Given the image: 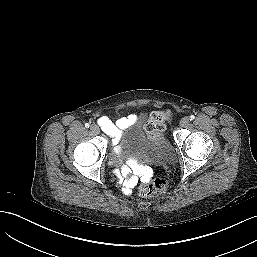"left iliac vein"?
Masks as SVG:
<instances>
[{"instance_id": "left-iliac-vein-1", "label": "left iliac vein", "mask_w": 257, "mask_h": 257, "mask_svg": "<svg viewBox=\"0 0 257 257\" xmlns=\"http://www.w3.org/2000/svg\"><path fill=\"white\" fill-rule=\"evenodd\" d=\"M189 124V118L188 117H183L180 120V126L181 127H186Z\"/></svg>"}]
</instances>
